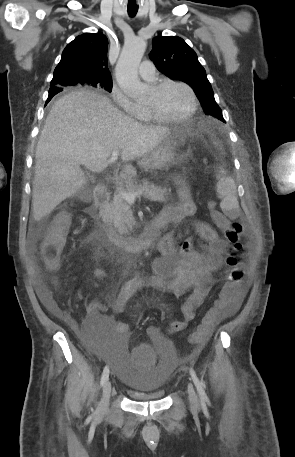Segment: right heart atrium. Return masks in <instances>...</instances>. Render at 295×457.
I'll return each instance as SVG.
<instances>
[{"label": "right heart atrium", "mask_w": 295, "mask_h": 457, "mask_svg": "<svg viewBox=\"0 0 295 457\" xmlns=\"http://www.w3.org/2000/svg\"><path fill=\"white\" fill-rule=\"evenodd\" d=\"M111 96L117 106L127 114L134 117L139 115L140 106L132 101L118 85L112 86Z\"/></svg>", "instance_id": "obj_1"}]
</instances>
